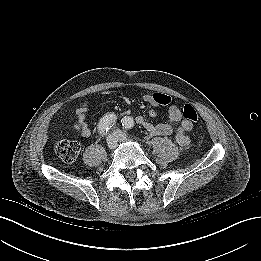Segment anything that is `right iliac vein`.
Returning <instances> with one entry per match:
<instances>
[{
    "label": "right iliac vein",
    "mask_w": 261,
    "mask_h": 261,
    "mask_svg": "<svg viewBox=\"0 0 261 261\" xmlns=\"http://www.w3.org/2000/svg\"><path fill=\"white\" fill-rule=\"evenodd\" d=\"M106 142H107V146L109 149H111V150L115 149L117 146V138H116L115 134L108 135Z\"/></svg>",
    "instance_id": "right-iliac-vein-1"
}]
</instances>
